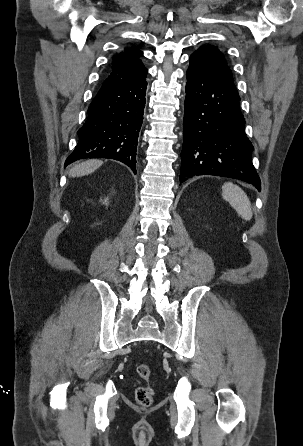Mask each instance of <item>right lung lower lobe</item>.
Masks as SVG:
<instances>
[{
	"label": "right lung lower lobe",
	"mask_w": 303,
	"mask_h": 446,
	"mask_svg": "<svg viewBox=\"0 0 303 446\" xmlns=\"http://www.w3.org/2000/svg\"><path fill=\"white\" fill-rule=\"evenodd\" d=\"M146 86L143 76L101 88L88 108V118L78 130L79 142L65 166L82 158H110L123 162L136 174Z\"/></svg>",
	"instance_id": "obj_1"
}]
</instances>
